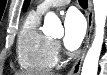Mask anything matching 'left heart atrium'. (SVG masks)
Instances as JSON below:
<instances>
[{"instance_id": "left-heart-atrium-1", "label": "left heart atrium", "mask_w": 107, "mask_h": 75, "mask_svg": "<svg viewBox=\"0 0 107 75\" xmlns=\"http://www.w3.org/2000/svg\"><path fill=\"white\" fill-rule=\"evenodd\" d=\"M85 32L86 24L83 17L77 11H69L64 20L65 47L70 51L76 50L81 45Z\"/></svg>"}]
</instances>
